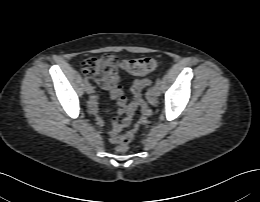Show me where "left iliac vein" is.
I'll return each mask as SVG.
<instances>
[{"label":"left iliac vein","instance_id":"left-iliac-vein-1","mask_svg":"<svg viewBox=\"0 0 260 202\" xmlns=\"http://www.w3.org/2000/svg\"><path fill=\"white\" fill-rule=\"evenodd\" d=\"M160 95V87L159 85H154L150 90V96L157 97Z\"/></svg>","mask_w":260,"mask_h":202}]
</instances>
